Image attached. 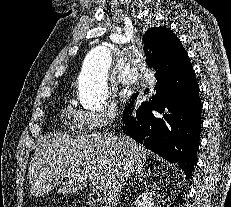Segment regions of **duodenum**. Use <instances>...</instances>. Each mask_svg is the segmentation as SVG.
Listing matches in <instances>:
<instances>
[{
  "label": "duodenum",
  "mask_w": 231,
  "mask_h": 207,
  "mask_svg": "<svg viewBox=\"0 0 231 207\" xmlns=\"http://www.w3.org/2000/svg\"><path fill=\"white\" fill-rule=\"evenodd\" d=\"M89 207H94V204L92 202H90Z\"/></svg>",
  "instance_id": "410a0bca"
}]
</instances>
